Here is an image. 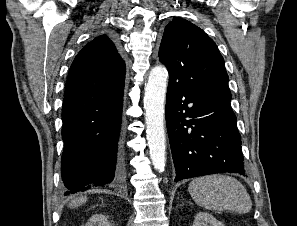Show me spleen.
Returning <instances> with one entry per match:
<instances>
[{
  "label": "spleen",
  "instance_id": "3e777b00",
  "mask_svg": "<svg viewBox=\"0 0 297 226\" xmlns=\"http://www.w3.org/2000/svg\"><path fill=\"white\" fill-rule=\"evenodd\" d=\"M188 191L194 201L208 210H232L248 213L252 201L245 187L235 178L227 175L199 177L189 184Z\"/></svg>",
  "mask_w": 297,
  "mask_h": 226
}]
</instances>
